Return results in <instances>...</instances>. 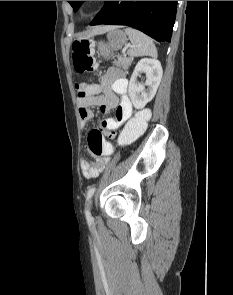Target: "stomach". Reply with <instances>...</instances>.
I'll list each match as a JSON object with an SVG mask.
<instances>
[{"instance_id":"1","label":"stomach","mask_w":233,"mask_h":295,"mask_svg":"<svg viewBox=\"0 0 233 295\" xmlns=\"http://www.w3.org/2000/svg\"><path fill=\"white\" fill-rule=\"evenodd\" d=\"M107 38L109 40L108 45L101 43L98 46L99 55L104 57L105 59L109 58L114 51L122 48L127 41L125 32L119 29L110 30Z\"/></svg>"}]
</instances>
